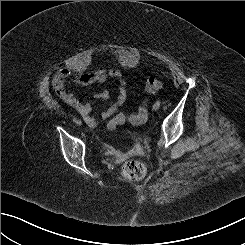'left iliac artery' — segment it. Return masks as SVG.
<instances>
[{"mask_svg":"<svg viewBox=\"0 0 245 245\" xmlns=\"http://www.w3.org/2000/svg\"><path fill=\"white\" fill-rule=\"evenodd\" d=\"M158 105H160L161 104V102L158 100L157 102H156Z\"/></svg>","mask_w":245,"mask_h":245,"instance_id":"left-iliac-artery-1","label":"left iliac artery"}]
</instances>
